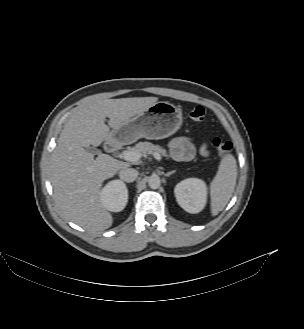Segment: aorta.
<instances>
[{
    "mask_svg": "<svg viewBox=\"0 0 304 329\" xmlns=\"http://www.w3.org/2000/svg\"><path fill=\"white\" fill-rule=\"evenodd\" d=\"M148 185L151 189H157L160 186V178L157 175H152L148 179Z\"/></svg>",
    "mask_w": 304,
    "mask_h": 329,
    "instance_id": "aorta-1",
    "label": "aorta"
}]
</instances>
